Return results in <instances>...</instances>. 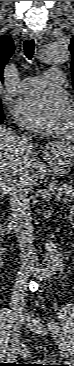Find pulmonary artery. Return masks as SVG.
Returning <instances> with one entry per match:
<instances>
[{"label": "pulmonary artery", "instance_id": "obj_1", "mask_svg": "<svg viewBox=\"0 0 74 366\" xmlns=\"http://www.w3.org/2000/svg\"><path fill=\"white\" fill-rule=\"evenodd\" d=\"M65 78V74L60 69L49 70L43 77H29L21 80L18 90L22 93L35 94L46 86L58 87Z\"/></svg>", "mask_w": 74, "mask_h": 366}]
</instances>
